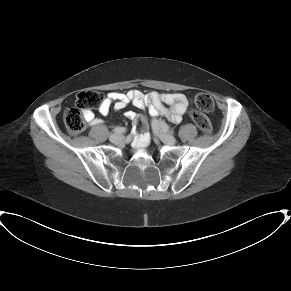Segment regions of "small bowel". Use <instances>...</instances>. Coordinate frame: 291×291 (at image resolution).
I'll return each instance as SVG.
<instances>
[{"mask_svg":"<svg viewBox=\"0 0 291 291\" xmlns=\"http://www.w3.org/2000/svg\"><path fill=\"white\" fill-rule=\"evenodd\" d=\"M192 100L183 94L172 93H156L150 92L143 94L138 90H129L127 92H111L108 93L100 106V113L107 115L111 108L115 111L121 110L128 104H134L138 108L147 107L148 113L151 117L163 115L168 117L172 122L178 123L182 119V115L186 111ZM165 105H169L168 109ZM84 119L90 126L100 124L101 120L95 116L91 110H84ZM125 116L130 119L134 125L139 121V115L134 111H127ZM134 126V128H135ZM148 141V134H140L135 137L134 143L138 150H142Z\"/></svg>","mask_w":291,"mask_h":291,"instance_id":"obj_1","label":"small bowel"}]
</instances>
